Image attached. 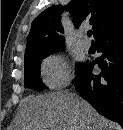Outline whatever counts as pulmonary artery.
<instances>
[{"label": "pulmonary artery", "mask_w": 123, "mask_h": 130, "mask_svg": "<svg viewBox=\"0 0 123 130\" xmlns=\"http://www.w3.org/2000/svg\"><path fill=\"white\" fill-rule=\"evenodd\" d=\"M80 46L84 49V50H88L91 46L90 41L83 36L82 40L80 41Z\"/></svg>", "instance_id": "pulmonary-artery-1"}]
</instances>
